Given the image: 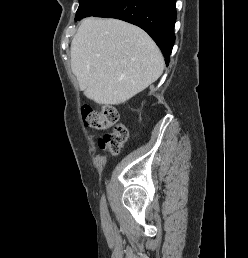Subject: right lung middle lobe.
Here are the masks:
<instances>
[{"mask_svg": "<svg viewBox=\"0 0 248 258\" xmlns=\"http://www.w3.org/2000/svg\"><path fill=\"white\" fill-rule=\"evenodd\" d=\"M115 0H79V8L76 12L75 21L84 17L94 16Z\"/></svg>", "mask_w": 248, "mask_h": 258, "instance_id": "obj_1", "label": "right lung middle lobe"}]
</instances>
